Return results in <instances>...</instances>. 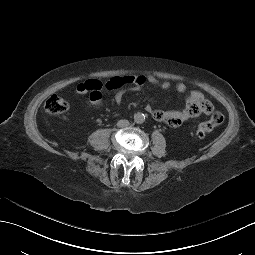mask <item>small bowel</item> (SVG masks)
<instances>
[{"instance_id": "c3829d8e", "label": "small bowel", "mask_w": 255, "mask_h": 255, "mask_svg": "<svg viewBox=\"0 0 255 255\" xmlns=\"http://www.w3.org/2000/svg\"><path fill=\"white\" fill-rule=\"evenodd\" d=\"M145 84L157 86L163 90L171 87L169 81H161L154 76H116L109 79L106 83H102L95 79H89L81 82L76 87V92L80 95H88L89 100L94 105L102 103V90H116L115 102L121 104L125 91L124 87L129 86L131 90H139ZM175 89L178 93H185L187 87L184 83L176 84ZM145 110L152 115L154 120L165 123L170 127H179L185 121L196 118L201 114L209 115L213 111V104L204 95L197 90H191L185 99V107L181 111H162L153 109L150 105L145 106Z\"/></svg>"}]
</instances>
